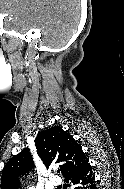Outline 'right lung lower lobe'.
Wrapping results in <instances>:
<instances>
[{"instance_id": "1", "label": "right lung lower lobe", "mask_w": 124, "mask_h": 189, "mask_svg": "<svg viewBox=\"0 0 124 189\" xmlns=\"http://www.w3.org/2000/svg\"><path fill=\"white\" fill-rule=\"evenodd\" d=\"M65 180L71 182L68 186L72 189H98L88 160L80 168L66 175Z\"/></svg>"}]
</instances>
